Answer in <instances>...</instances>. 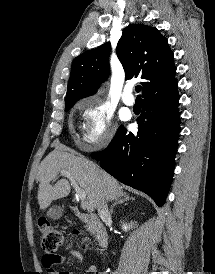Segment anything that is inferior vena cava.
<instances>
[{
  "label": "inferior vena cava",
  "instance_id": "obj_1",
  "mask_svg": "<svg viewBox=\"0 0 215 274\" xmlns=\"http://www.w3.org/2000/svg\"><path fill=\"white\" fill-rule=\"evenodd\" d=\"M98 213L101 219H107L110 217V213L108 210V205L105 197L103 196L102 199L99 201L98 204Z\"/></svg>",
  "mask_w": 215,
  "mask_h": 274
}]
</instances>
